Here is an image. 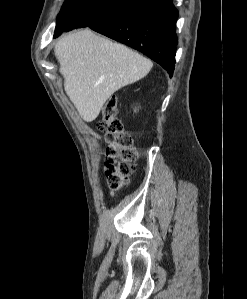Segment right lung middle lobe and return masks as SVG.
Returning a JSON list of instances; mask_svg holds the SVG:
<instances>
[{"label": "right lung middle lobe", "instance_id": "1", "mask_svg": "<svg viewBox=\"0 0 247 299\" xmlns=\"http://www.w3.org/2000/svg\"><path fill=\"white\" fill-rule=\"evenodd\" d=\"M133 0H66L57 18L55 37L63 31L91 27L127 8Z\"/></svg>", "mask_w": 247, "mask_h": 299}]
</instances>
